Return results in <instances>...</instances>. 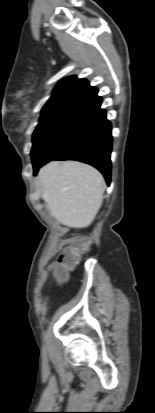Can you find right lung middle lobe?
I'll use <instances>...</instances> for the list:
<instances>
[{"label":"right lung middle lobe","instance_id":"1","mask_svg":"<svg viewBox=\"0 0 155 413\" xmlns=\"http://www.w3.org/2000/svg\"><path fill=\"white\" fill-rule=\"evenodd\" d=\"M78 106L64 107L41 116L33 133L31 151L33 165L40 163L66 130Z\"/></svg>","mask_w":155,"mask_h":413}]
</instances>
